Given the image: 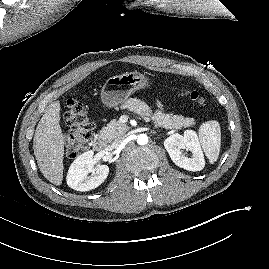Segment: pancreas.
<instances>
[{"label": "pancreas", "instance_id": "cf45deb5", "mask_svg": "<svg viewBox=\"0 0 269 269\" xmlns=\"http://www.w3.org/2000/svg\"><path fill=\"white\" fill-rule=\"evenodd\" d=\"M154 126L156 128H165V129H181L186 127H191L195 124L193 118H184L183 116L165 114L161 110H157L152 117ZM129 127L121 123L118 120H111L106 127L102 128L100 131V138L111 142L113 139H118L123 136Z\"/></svg>", "mask_w": 269, "mask_h": 269}]
</instances>
